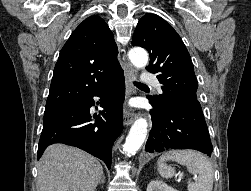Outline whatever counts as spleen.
<instances>
[{
  "mask_svg": "<svg viewBox=\"0 0 251 191\" xmlns=\"http://www.w3.org/2000/svg\"><path fill=\"white\" fill-rule=\"evenodd\" d=\"M172 159L181 165H186L190 173H198V181L188 183V191H212L213 187V165L206 155L195 151V149H171L165 151L158 159V171L162 177H172L175 173L174 167H168L164 161Z\"/></svg>",
  "mask_w": 251,
  "mask_h": 191,
  "instance_id": "obj_1",
  "label": "spleen"
}]
</instances>
